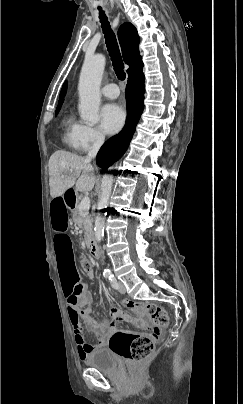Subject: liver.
I'll use <instances>...</instances> for the list:
<instances>
[{
  "label": "liver",
  "mask_w": 243,
  "mask_h": 404,
  "mask_svg": "<svg viewBox=\"0 0 243 404\" xmlns=\"http://www.w3.org/2000/svg\"><path fill=\"white\" fill-rule=\"evenodd\" d=\"M69 170H73V172H69ZM91 172H93V168L90 160H85L82 156H76L70 152H63V150L54 152L49 160L51 198L63 196L64 192L72 188L74 184L79 192H92L96 178L92 176ZM76 178H78L77 182Z\"/></svg>",
  "instance_id": "1"
}]
</instances>
